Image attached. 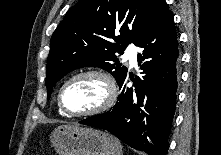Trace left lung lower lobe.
Listing matches in <instances>:
<instances>
[{
    "label": "left lung lower lobe",
    "instance_id": "left-lung-lower-lobe-1",
    "mask_svg": "<svg viewBox=\"0 0 221 155\" xmlns=\"http://www.w3.org/2000/svg\"><path fill=\"white\" fill-rule=\"evenodd\" d=\"M136 46L142 79L126 87L127 76L118 84L122 92L108 112L79 123L104 129L132 148L148 155H166L176 106L178 41L174 18L163 3L148 23Z\"/></svg>",
    "mask_w": 221,
    "mask_h": 155
}]
</instances>
